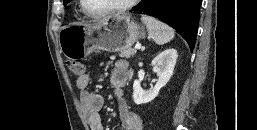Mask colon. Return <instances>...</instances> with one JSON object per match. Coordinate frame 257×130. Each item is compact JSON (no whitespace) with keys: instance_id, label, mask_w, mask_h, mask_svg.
Here are the masks:
<instances>
[{"instance_id":"colon-1","label":"colon","mask_w":257,"mask_h":130,"mask_svg":"<svg viewBox=\"0 0 257 130\" xmlns=\"http://www.w3.org/2000/svg\"><path fill=\"white\" fill-rule=\"evenodd\" d=\"M67 67L72 72V74L78 77L84 75L86 72L85 66L78 61H74V60L68 61Z\"/></svg>"}]
</instances>
